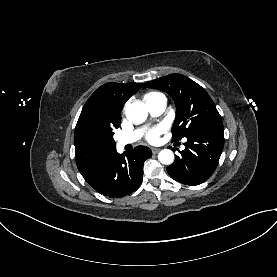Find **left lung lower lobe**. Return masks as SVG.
Listing matches in <instances>:
<instances>
[{"mask_svg":"<svg viewBox=\"0 0 277 277\" xmlns=\"http://www.w3.org/2000/svg\"><path fill=\"white\" fill-rule=\"evenodd\" d=\"M223 125L203 129L187 138L181 157L167 167L170 177L186 185H198L215 171L224 146Z\"/></svg>","mask_w":277,"mask_h":277,"instance_id":"0a47b994","label":"left lung lower lobe"}]
</instances>
